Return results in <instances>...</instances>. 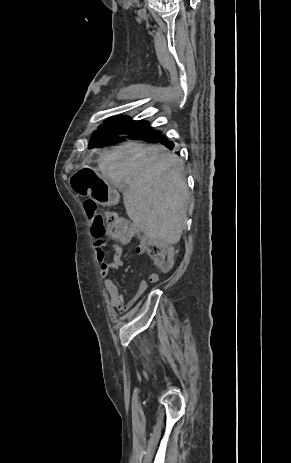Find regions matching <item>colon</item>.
Here are the masks:
<instances>
[{
	"instance_id": "5ec220e1",
	"label": "colon",
	"mask_w": 291,
	"mask_h": 463,
	"mask_svg": "<svg viewBox=\"0 0 291 463\" xmlns=\"http://www.w3.org/2000/svg\"><path fill=\"white\" fill-rule=\"evenodd\" d=\"M84 208L92 221V236L97 245L103 246L107 236L117 240L134 238L141 251L147 252L161 271H168L172 268L174 251L171 246L139 232L132 221L121 217L118 213L101 210L91 199L84 202Z\"/></svg>"
}]
</instances>
